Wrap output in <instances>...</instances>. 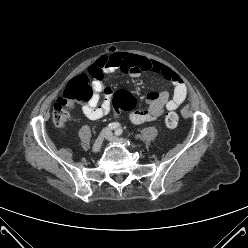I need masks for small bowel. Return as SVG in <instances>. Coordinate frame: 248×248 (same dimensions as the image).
<instances>
[{"instance_id":"obj_1","label":"small bowel","mask_w":248,"mask_h":248,"mask_svg":"<svg viewBox=\"0 0 248 248\" xmlns=\"http://www.w3.org/2000/svg\"><path fill=\"white\" fill-rule=\"evenodd\" d=\"M92 67L107 73H114L116 71L130 73L134 78L140 77L143 72H153L172 83L174 87L172 94L168 91L150 92L147 94L148 108L133 110L129 114V119L133 124H142L155 120L163 115L165 111L177 109L186 98L187 88L182 77L168 66L145 57L114 52L99 59L90 66V68ZM92 86L94 95L89 102L83 105L82 110L89 119L97 120L109 113L113 90L109 87L104 88L100 78H96ZM101 92L104 93L105 98L102 104L98 105Z\"/></svg>"}]
</instances>
